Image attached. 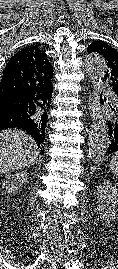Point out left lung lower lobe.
<instances>
[{"label": "left lung lower lobe", "instance_id": "0a47b994", "mask_svg": "<svg viewBox=\"0 0 118 269\" xmlns=\"http://www.w3.org/2000/svg\"><path fill=\"white\" fill-rule=\"evenodd\" d=\"M113 111V119L114 121L111 123H108L109 127V143L106 150V155H109L111 153L118 151V104L116 105H109Z\"/></svg>", "mask_w": 118, "mask_h": 269}]
</instances>
